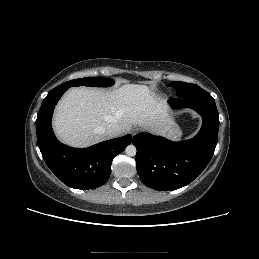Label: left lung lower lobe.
Listing matches in <instances>:
<instances>
[{
  "instance_id": "obj_1",
  "label": "left lung lower lobe",
  "mask_w": 259,
  "mask_h": 259,
  "mask_svg": "<svg viewBox=\"0 0 259 259\" xmlns=\"http://www.w3.org/2000/svg\"><path fill=\"white\" fill-rule=\"evenodd\" d=\"M170 101L176 107L197 111L203 124L194 138L181 142L145 132L133 137L138 175L146 186L160 191L186 186L205 169L214 154L219 129V115L211 95Z\"/></svg>"
}]
</instances>
